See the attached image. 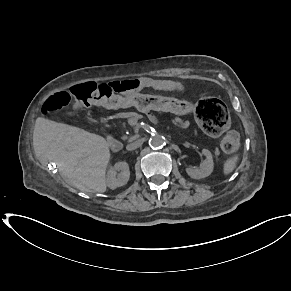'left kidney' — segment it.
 Instances as JSON below:
<instances>
[{"label":"left kidney","instance_id":"1","mask_svg":"<svg viewBox=\"0 0 291 291\" xmlns=\"http://www.w3.org/2000/svg\"><path fill=\"white\" fill-rule=\"evenodd\" d=\"M206 159L201 163L200 169L186 168L187 174L193 179H202L209 176L214 168L213 157L209 150L202 149Z\"/></svg>","mask_w":291,"mask_h":291}]
</instances>
